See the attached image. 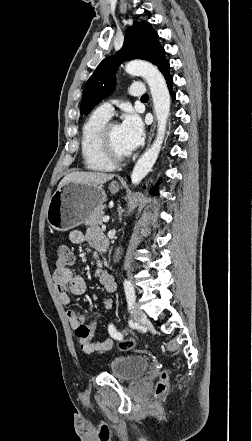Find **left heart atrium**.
Returning <instances> with one entry per match:
<instances>
[{
	"mask_svg": "<svg viewBox=\"0 0 252 441\" xmlns=\"http://www.w3.org/2000/svg\"><path fill=\"white\" fill-rule=\"evenodd\" d=\"M121 140L123 148L129 154L137 149L144 139V127L140 117L133 111L128 110L120 124Z\"/></svg>",
	"mask_w": 252,
	"mask_h": 441,
	"instance_id": "obj_1",
	"label": "left heart atrium"
}]
</instances>
